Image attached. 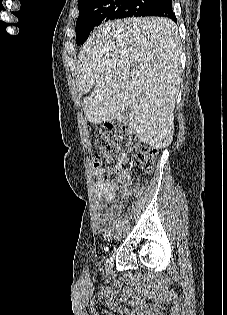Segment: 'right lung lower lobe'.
<instances>
[{
    "instance_id": "1",
    "label": "right lung lower lobe",
    "mask_w": 227,
    "mask_h": 315,
    "mask_svg": "<svg viewBox=\"0 0 227 315\" xmlns=\"http://www.w3.org/2000/svg\"><path fill=\"white\" fill-rule=\"evenodd\" d=\"M137 12L138 10L136 11L135 15ZM140 16L168 17L176 22V17L172 10V0H157L153 5L144 10Z\"/></svg>"
}]
</instances>
